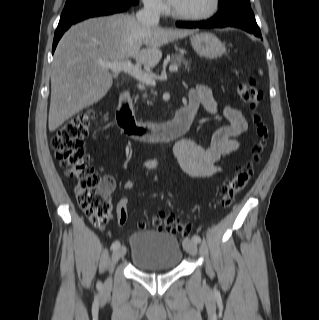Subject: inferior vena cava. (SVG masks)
I'll list each match as a JSON object with an SVG mask.
<instances>
[{
  "label": "inferior vena cava",
  "mask_w": 319,
  "mask_h": 320,
  "mask_svg": "<svg viewBox=\"0 0 319 320\" xmlns=\"http://www.w3.org/2000/svg\"><path fill=\"white\" fill-rule=\"evenodd\" d=\"M136 19L143 25L156 26L160 19V6L153 0H146L144 8L136 13Z\"/></svg>",
  "instance_id": "1"
}]
</instances>
